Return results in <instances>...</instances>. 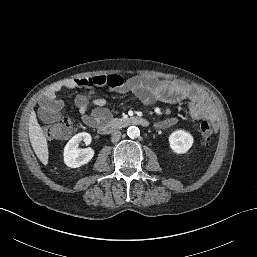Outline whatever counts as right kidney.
<instances>
[{"instance_id": "ca27d5eb", "label": "right kidney", "mask_w": 257, "mask_h": 257, "mask_svg": "<svg viewBox=\"0 0 257 257\" xmlns=\"http://www.w3.org/2000/svg\"><path fill=\"white\" fill-rule=\"evenodd\" d=\"M91 135L87 132H81L73 136L64 148V163L71 168H77L87 164L94 156L92 148H79L78 144L84 141L86 145L91 143Z\"/></svg>"}]
</instances>
